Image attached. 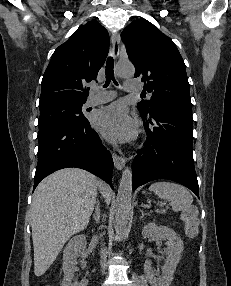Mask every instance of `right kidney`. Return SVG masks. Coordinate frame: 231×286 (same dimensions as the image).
<instances>
[{
    "mask_svg": "<svg viewBox=\"0 0 231 286\" xmlns=\"http://www.w3.org/2000/svg\"><path fill=\"white\" fill-rule=\"evenodd\" d=\"M86 237L84 235H77L73 237L63 253V272L64 278L62 281V286H87L88 281L82 280L78 282L74 280V273L77 271V258L84 254L86 248ZM81 265L85 267L86 262L81 261Z\"/></svg>",
    "mask_w": 231,
    "mask_h": 286,
    "instance_id": "ca27d5eb",
    "label": "right kidney"
}]
</instances>
